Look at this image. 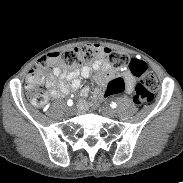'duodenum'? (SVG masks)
I'll return each mask as SVG.
<instances>
[{
	"instance_id": "410a0bca",
	"label": "duodenum",
	"mask_w": 183,
	"mask_h": 183,
	"mask_svg": "<svg viewBox=\"0 0 183 183\" xmlns=\"http://www.w3.org/2000/svg\"><path fill=\"white\" fill-rule=\"evenodd\" d=\"M93 93H94V95H93V97H92V98H93V100H94V101H96V102H97V101H99V100H100V98H101V97H100V95H101V93H102V92H101V90L97 88V89H95V90H94V92H93ZM79 106H80V108H81V109H83V110H84V109H86V108H87V106H88V105H87V103H86V102H84V101H83V102H81V103H80V105H79Z\"/></svg>"
}]
</instances>
